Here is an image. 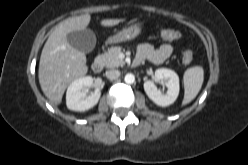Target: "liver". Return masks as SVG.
I'll return each instance as SVG.
<instances>
[{
	"label": "liver",
	"mask_w": 248,
	"mask_h": 165,
	"mask_svg": "<svg viewBox=\"0 0 248 165\" xmlns=\"http://www.w3.org/2000/svg\"><path fill=\"white\" fill-rule=\"evenodd\" d=\"M91 16L84 14L68 18L59 23L48 37L39 62L38 77L41 89L49 101L61 103L67 86L87 73L84 52L72 47L67 34L84 30L90 23ZM124 19H104L102 26H115Z\"/></svg>",
	"instance_id": "liver-1"
}]
</instances>
